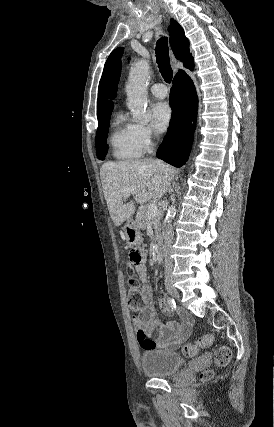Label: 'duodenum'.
<instances>
[{"label": "duodenum", "instance_id": "obj_1", "mask_svg": "<svg viewBox=\"0 0 274 427\" xmlns=\"http://www.w3.org/2000/svg\"><path fill=\"white\" fill-rule=\"evenodd\" d=\"M155 253L159 256L163 255V244L162 243L157 244V246L155 248Z\"/></svg>", "mask_w": 274, "mask_h": 427}]
</instances>
